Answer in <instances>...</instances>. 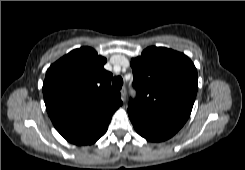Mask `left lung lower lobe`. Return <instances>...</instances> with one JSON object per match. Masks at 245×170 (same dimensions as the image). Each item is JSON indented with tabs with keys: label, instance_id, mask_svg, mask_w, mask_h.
Listing matches in <instances>:
<instances>
[{
	"label": "left lung lower lobe",
	"instance_id": "0a47b994",
	"mask_svg": "<svg viewBox=\"0 0 245 170\" xmlns=\"http://www.w3.org/2000/svg\"><path fill=\"white\" fill-rule=\"evenodd\" d=\"M129 118L139 135L152 142H160L171 138L179 129L153 122L140 115L128 112Z\"/></svg>",
	"mask_w": 245,
	"mask_h": 170
}]
</instances>
